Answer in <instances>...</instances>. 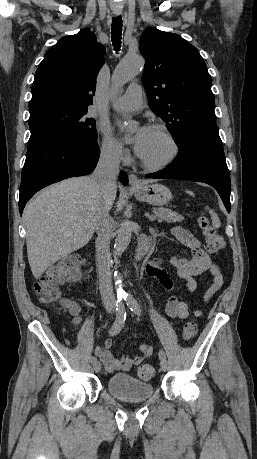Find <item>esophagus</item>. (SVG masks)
Instances as JSON below:
<instances>
[{"mask_svg": "<svg viewBox=\"0 0 257 459\" xmlns=\"http://www.w3.org/2000/svg\"><path fill=\"white\" fill-rule=\"evenodd\" d=\"M120 14H121L120 10H114V15L119 16ZM129 184L130 186H139L141 182L134 173H130L129 174Z\"/></svg>", "mask_w": 257, "mask_h": 459, "instance_id": "1", "label": "esophagus"}]
</instances>
